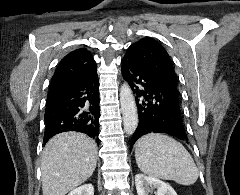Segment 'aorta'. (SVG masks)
<instances>
[{
    "label": "aorta",
    "instance_id": "762f6f07",
    "mask_svg": "<svg viewBox=\"0 0 240 195\" xmlns=\"http://www.w3.org/2000/svg\"><path fill=\"white\" fill-rule=\"evenodd\" d=\"M120 103L123 115L124 131H126L128 135H132L138 125V113L135 98L128 84H122L120 88Z\"/></svg>",
    "mask_w": 240,
    "mask_h": 195
}]
</instances>
